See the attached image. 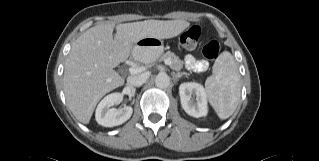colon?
Listing matches in <instances>:
<instances>
[{
	"label": "colon",
	"mask_w": 319,
	"mask_h": 161,
	"mask_svg": "<svg viewBox=\"0 0 319 161\" xmlns=\"http://www.w3.org/2000/svg\"><path fill=\"white\" fill-rule=\"evenodd\" d=\"M201 35V28L193 26L185 30L180 35V44L186 49H193L196 47ZM220 53V44L217 40H209L202 48L204 58L208 60H216Z\"/></svg>",
	"instance_id": "obj_1"
}]
</instances>
